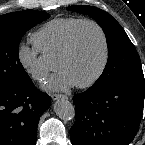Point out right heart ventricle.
I'll list each match as a JSON object with an SVG mask.
<instances>
[{
	"mask_svg": "<svg viewBox=\"0 0 145 145\" xmlns=\"http://www.w3.org/2000/svg\"><path fill=\"white\" fill-rule=\"evenodd\" d=\"M80 20L81 18L71 16L54 18L32 34V42L43 55L55 57L62 49L72 28Z\"/></svg>",
	"mask_w": 145,
	"mask_h": 145,
	"instance_id": "obj_1",
	"label": "right heart ventricle"
}]
</instances>
